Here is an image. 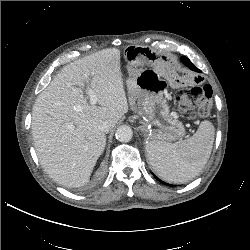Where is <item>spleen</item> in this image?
<instances>
[{
  "instance_id": "spleen-1",
  "label": "spleen",
  "mask_w": 250,
  "mask_h": 250,
  "mask_svg": "<svg viewBox=\"0 0 250 250\" xmlns=\"http://www.w3.org/2000/svg\"><path fill=\"white\" fill-rule=\"evenodd\" d=\"M215 129L203 121L189 139L169 143L151 140L146 147L148 160L154 171L173 183H185L195 178L207 163L214 142Z\"/></svg>"
}]
</instances>
